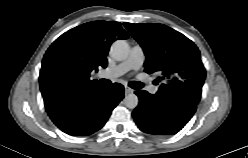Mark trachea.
I'll list each match as a JSON object with an SVG mask.
<instances>
[{
	"label": "trachea",
	"mask_w": 248,
	"mask_h": 158,
	"mask_svg": "<svg viewBox=\"0 0 248 158\" xmlns=\"http://www.w3.org/2000/svg\"><path fill=\"white\" fill-rule=\"evenodd\" d=\"M107 82H108V81L105 80V79L101 80L102 85H109V84H107ZM129 86H130L131 88H133V89H140V88H142L144 85H143V83H141V82L132 81V82L129 83Z\"/></svg>",
	"instance_id": "3493384b"
}]
</instances>
